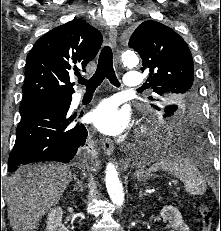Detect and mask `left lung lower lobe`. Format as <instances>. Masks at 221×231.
Segmentation results:
<instances>
[{
  "label": "left lung lower lobe",
  "mask_w": 221,
  "mask_h": 231,
  "mask_svg": "<svg viewBox=\"0 0 221 231\" xmlns=\"http://www.w3.org/2000/svg\"><path fill=\"white\" fill-rule=\"evenodd\" d=\"M170 139L177 145L185 146L187 151L203 154L204 134L198 114L191 115L188 125L181 132H172Z\"/></svg>",
  "instance_id": "0a47b994"
}]
</instances>
